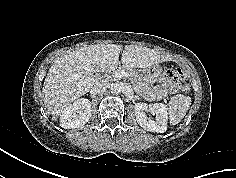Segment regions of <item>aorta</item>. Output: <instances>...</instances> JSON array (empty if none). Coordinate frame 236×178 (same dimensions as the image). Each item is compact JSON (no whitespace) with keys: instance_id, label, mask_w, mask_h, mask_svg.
<instances>
[{"instance_id":"1","label":"aorta","mask_w":236,"mask_h":178,"mask_svg":"<svg viewBox=\"0 0 236 178\" xmlns=\"http://www.w3.org/2000/svg\"><path fill=\"white\" fill-rule=\"evenodd\" d=\"M123 90V87L119 83H113L111 85V93L112 94H119Z\"/></svg>"}]
</instances>
